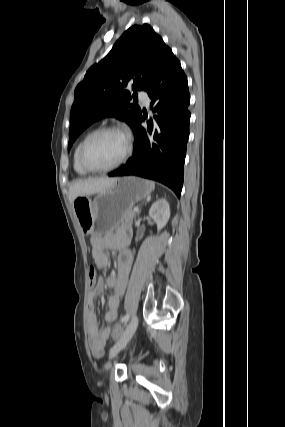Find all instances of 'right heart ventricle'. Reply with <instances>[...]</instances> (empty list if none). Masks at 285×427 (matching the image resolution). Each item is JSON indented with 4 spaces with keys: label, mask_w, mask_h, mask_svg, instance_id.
Instances as JSON below:
<instances>
[{
    "label": "right heart ventricle",
    "mask_w": 285,
    "mask_h": 427,
    "mask_svg": "<svg viewBox=\"0 0 285 427\" xmlns=\"http://www.w3.org/2000/svg\"><path fill=\"white\" fill-rule=\"evenodd\" d=\"M95 131V129H91L89 131H87L82 137L81 139L78 141L74 152H73V167L74 170L76 171V173H78L79 175H87L89 174L88 171H86L79 162V151H80V147L82 145V143L84 142V140L89 137L93 132Z\"/></svg>",
    "instance_id": "right-heart-ventricle-1"
}]
</instances>
